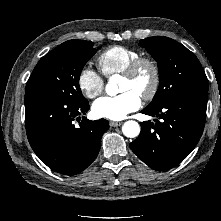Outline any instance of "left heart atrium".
<instances>
[{"instance_id": "obj_1", "label": "left heart atrium", "mask_w": 221, "mask_h": 221, "mask_svg": "<svg viewBox=\"0 0 221 221\" xmlns=\"http://www.w3.org/2000/svg\"><path fill=\"white\" fill-rule=\"evenodd\" d=\"M141 106V97L134 91H125L117 96H104L92 106L93 114L109 120L124 119L129 113Z\"/></svg>"}]
</instances>
